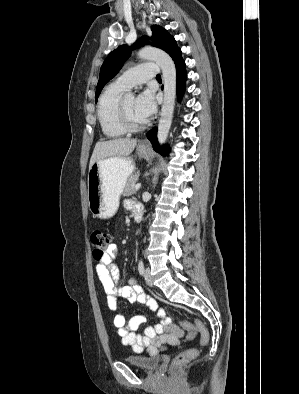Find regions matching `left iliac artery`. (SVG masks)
Segmentation results:
<instances>
[{
    "label": "left iliac artery",
    "mask_w": 299,
    "mask_h": 394,
    "mask_svg": "<svg viewBox=\"0 0 299 394\" xmlns=\"http://www.w3.org/2000/svg\"><path fill=\"white\" fill-rule=\"evenodd\" d=\"M138 271H139V273L141 275H143V273H144V263H143L142 260H140L139 263H138Z\"/></svg>",
    "instance_id": "44dca946"
}]
</instances>
